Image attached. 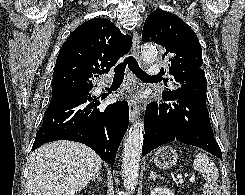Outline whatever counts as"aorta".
Masks as SVG:
<instances>
[{
  "instance_id": "aorta-1",
  "label": "aorta",
  "mask_w": 245,
  "mask_h": 195,
  "mask_svg": "<svg viewBox=\"0 0 245 195\" xmlns=\"http://www.w3.org/2000/svg\"><path fill=\"white\" fill-rule=\"evenodd\" d=\"M145 63H151L157 56V49L152 44H146L141 49ZM144 137V124L137 120L130 128L124 142L122 154L123 183L128 191H133L138 181L139 161Z\"/></svg>"
}]
</instances>
